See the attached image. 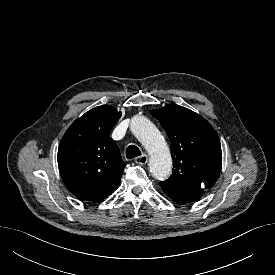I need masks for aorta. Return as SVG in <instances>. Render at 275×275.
Segmentation results:
<instances>
[{
  "instance_id": "aorta-1",
  "label": "aorta",
  "mask_w": 275,
  "mask_h": 275,
  "mask_svg": "<svg viewBox=\"0 0 275 275\" xmlns=\"http://www.w3.org/2000/svg\"><path fill=\"white\" fill-rule=\"evenodd\" d=\"M131 131L147 150L149 168L158 180L166 179L172 170L169 148L156 126L145 116L137 115L131 120Z\"/></svg>"
}]
</instances>
